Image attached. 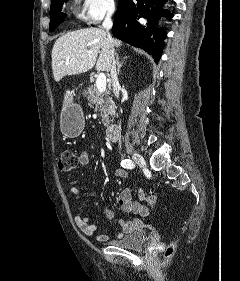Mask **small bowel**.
Here are the masks:
<instances>
[{
	"label": "small bowel",
	"mask_w": 240,
	"mask_h": 281,
	"mask_svg": "<svg viewBox=\"0 0 240 281\" xmlns=\"http://www.w3.org/2000/svg\"><path fill=\"white\" fill-rule=\"evenodd\" d=\"M90 162V154L87 151L80 153L78 157V163L80 166H86ZM116 176L124 179H128V174L125 169L118 168L115 171ZM70 193L75 200L73 207L74 221L77 227L87 236L95 237L98 241H105L106 235H97L98 226L90 222L88 216L81 214V189L77 185H73L70 188ZM142 192L140 193V196ZM118 204L120 208L127 213L138 214L140 217L133 220H124L117 218L115 213L109 209L104 208L103 213L106 218L118 223L121 227V232L118 234L119 237H123L126 234L132 233L133 231L139 230L144 226V219L149 215V209L139 202L133 201L132 189L130 186L125 187L118 196Z\"/></svg>",
	"instance_id": "small-bowel-1"
}]
</instances>
